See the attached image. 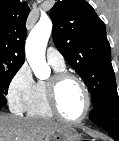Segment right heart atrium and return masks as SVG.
Returning <instances> with one entry per match:
<instances>
[{
	"instance_id": "obj_1",
	"label": "right heart atrium",
	"mask_w": 119,
	"mask_h": 141,
	"mask_svg": "<svg viewBox=\"0 0 119 141\" xmlns=\"http://www.w3.org/2000/svg\"><path fill=\"white\" fill-rule=\"evenodd\" d=\"M36 82L27 63L21 65L11 78L7 98L13 112L22 113L27 110L35 92Z\"/></svg>"
}]
</instances>
